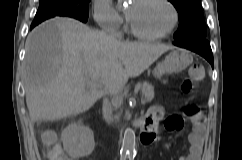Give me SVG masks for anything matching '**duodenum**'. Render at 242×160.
<instances>
[{
	"label": "duodenum",
	"mask_w": 242,
	"mask_h": 160,
	"mask_svg": "<svg viewBox=\"0 0 242 160\" xmlns=\"http://www.w3.org/2000/svg\"><path fill=\"white\" fill-rule=\"evenodd\" d=\"M144 125H145V119L144 118H139L132 123V126L134 128H138V129H142L144 127Z\"/></svg>",
	"instance_id": "obj_1"
}]
</instances>
